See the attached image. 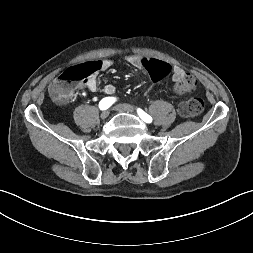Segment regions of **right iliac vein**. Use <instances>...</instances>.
I'll return each instance as SVG.
<instances>
[{
	"label": "right iliac vein",
	"instance_id": "63e3f726",
	"mask_svg": "<svg viewBox=\"0 0 253 253\" xmlns=\"http://www.w3.org/2000/svg\"><path fill=\"white\" fill-rule=\"evenodd\" d=\"M108 116H109V111H104L100 115L101 119L103 120L106 119Z\"/></svg>",
	"mask_w": 253,
	"mask_h": 253
}]
</instances>
